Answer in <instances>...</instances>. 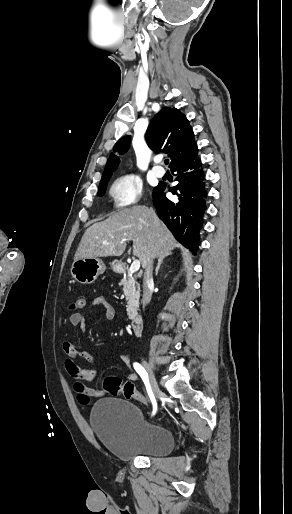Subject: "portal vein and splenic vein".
Wrapping results in <instances>:
<instances>
[{
	"mask_svg": "<svg viewBox=\"0 0 292 514\" xmlns=\"http://www.w3.org/2000/svg\"><path fill=\"white\" fill-rule=\"evenodd\" d=\"M124 240H122V244H123ZM140 268V262L139 260H134V262H132L131 266H130V270H129V274L130 276H132V274H134V272H138Z\"/></svg>",
	"mask_w": 292,
	"mask_h": 514,
	"instance_id": "1",
	"label": "portal vein and splenic vein"
}]
</instances>
